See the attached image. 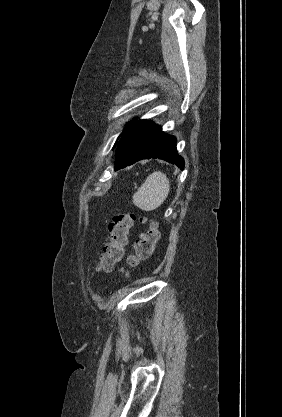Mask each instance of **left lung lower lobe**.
<instances>
[{
	"label": "left lung lower lobe",
	"instance_id": "0a47b994",
	"mask_svg": "<svg viewBox=\"0 0 282 417\" xmlns=\"http://www.w3.org/2000/svg\"><path fill=\"white\" fill-rule=\"evenodd\" d=\"M149 158L163 159L184 168V159L177 154L174 136L162 132L161 127L147 120L127 125L116 149L115 171Z\"/></svg>",
	"mask_w": 282,
	"mask_h": 417
}]
</instances>
